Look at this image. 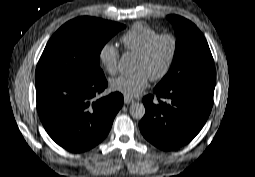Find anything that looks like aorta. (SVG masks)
I'll return each instance as SVG.
<instances>
[{"mask_svg": "<svg viewBox=\"0 0 255 177\" xmlns=\"http://www.w3.org/2000/svg\"><path fill=\"white\" fill-rule=\"evenodd\" d=\"M118 68L122 72H127L131 70L132 61L129 54H122L118 62ZM129 112L132 118L141 120L144 117L146 110L142 103L135 102L130 105Z\"/></svg>", "mask_w": 255, "mask_h": 177, "instance_id": "762f6f07", "label": "aorta"}]
</instances>
